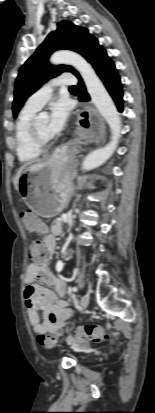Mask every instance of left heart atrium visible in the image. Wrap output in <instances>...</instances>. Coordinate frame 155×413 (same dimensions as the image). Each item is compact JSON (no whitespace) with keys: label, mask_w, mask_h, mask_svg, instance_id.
<instances>
[{"label":"left heart atrium","mask_w":155,"mask_h":413,"mask_svg":"<svg viewBox=\"0 0 155 413\" xmlns=\"http://www.w3.org/2000/svg\"><path fill=\"white\" fill-rule=\"evenodd\" d=\"M70 114V107L65 100H58L50 107V118L47 124V133L50 138L59 134L66 126Z\"/></svg>","instance_id":"39dd6f15"}]
</instances>
